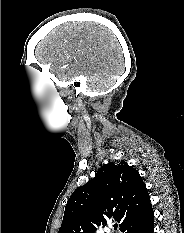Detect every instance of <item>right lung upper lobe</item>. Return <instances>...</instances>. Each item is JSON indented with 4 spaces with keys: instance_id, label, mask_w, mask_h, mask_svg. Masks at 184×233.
Returning a JSON list of instances; mask_svg holds the SVG:
<instances>
[{
    "instance_id": "cb5924a9",
    "label": "right lung upper lobe",
    "mask_w": 184,
    "mask_h": 233,
    "mask_svg": "<svg viewBox=\"0 0 184 233\" xmlns=\"http://www.w3.org/2000/svg\"><path fill=\"white\" fill-rule=\"evenodd\" d=\"M150 196L138 171L125 161L103 165L92 180L78 187L65 206L59 233H94L114 217L120 229L149 206Z\"/></svg>"
}]
</instances>
